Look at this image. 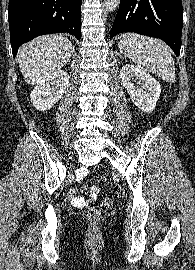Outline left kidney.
<instances>
[{
  "instance_id": "left-kidney-1",
  "label": "left kidney",
  "mask_w": 195,
  "mask_h": 270,
  "mask_svg": "<svg viewBox=\"0 0 195 270\" xmlns=\"http://www.w3.org/2000/svg\"><path fill=\"white\" fill-rule=\"evenodd\" d=\"M120 78L133 103L139 109L144 112H152L155 109L161 93V86L155 78L130 64L122 67ZM133 81H137L140 87L134 86Z\"/></svg>"
}]
</instances>
